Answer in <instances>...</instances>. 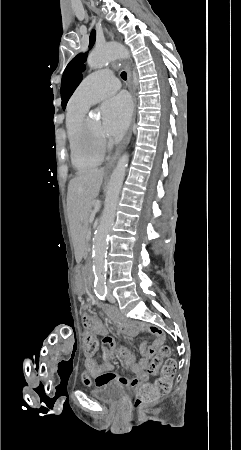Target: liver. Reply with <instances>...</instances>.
I'll return each mask as SVG.
<instances>
[{"label": "liver", "instance_id": "6515ba94", "mask_svg": "<svg viewBox=\"0 0 241 450\" xmlns=\"http://www.w3.org/2000/svg\"><path fill=\"white\" fill-rule=\"evenodd\" d=\"M104 170H92L89 174H78L68 186V208L70 224L79 230L86 226L92 204L97 198L104 178Z\"/></svg>", "mask_w": 241, "mask_h": 450}]
</instances>
